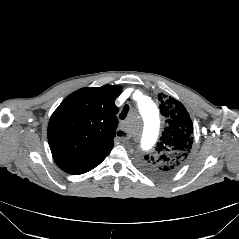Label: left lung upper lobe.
Listing matches in <instances>:
<instances>
[{"label": "left lung upper lobe", "mask_w": 239, "mask_h": 239, "mask_svg": "<svg viewBox=\"0 0 239 239\" xmlns=\"http://www.w3.org/2000/svg\"><path fill=\"white\" fill-rule=\"evenodd\" d=\"M165 128L155 151L144 156L142 168L148 173L165 177L179 170L190 154L193 143V123L185 107L167 95H158Z\"/></svg>", "instance_id": "left-lung-upper-lobe-1"}]
</instances>
